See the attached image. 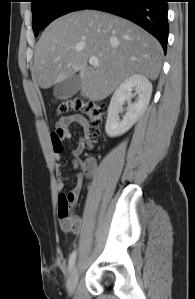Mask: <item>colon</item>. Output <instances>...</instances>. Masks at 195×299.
<instances>
[{"mask_svg":"<svg viewBox=\"0 0 195 299\" xmlns=\"http://www.w3.org/2000/svg\"><path fill=\"white\" fill-rule=\"evenodd\" d=\"M107 107L104 103L89 100L81 96L64 97L57 102V112L64 114L68 112H77L86 115L91 124L96 128L100 126L106 113ZM96 136V130L90 134L91 138ZM72 197L63 195L59 204V216L68 217L73 213Z\"/></svg>","mask_w":195,"mask_h":299,"instance_id":"1","label":"colon"}]
</instances>
